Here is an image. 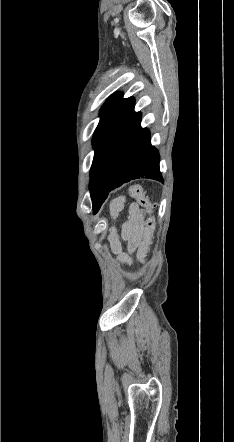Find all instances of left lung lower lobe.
Masks as SVG:
<instances>
[{"instance_id": "0a47b994", "label": "left lung lower lobe", "mask_w": 234, "mask_h": 442, "mask_svg": "<svg viewBox=\"0 0 234 442\" xmlns=\"http://www.w3.org/2000/svg\"><path fill=\"white\" fill-rule=\"evenodd\" d=\"M141 113L134 99L121 102L99 123L94 137L95 155L90 172L93 210L97 212L115 187L140 177L162 181L160 156L151 145L150 132L141 128Z\"/></svg>"}]
</instances>
